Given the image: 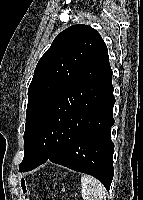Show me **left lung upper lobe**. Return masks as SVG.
<instances>
[{
  "mask_svg": "<svg viewBox=\"0 0 143 200\" xmlns=\"http://www.w3.org/2000/svg\"><path fill=\"white\" fill-rule=\"evenodd\" d=\"M105 46L100 34L87 25L62 31L39 60L28 88L23 171L32 156L35 124L45 108L69 86L88 62Z\"/></svg>",
  "mask_w": 143,
  "mask_h": 200,
  "instance_id": "5c2ea615",
  "label": "left lung upper lobe"
}]
</instances>
